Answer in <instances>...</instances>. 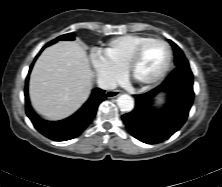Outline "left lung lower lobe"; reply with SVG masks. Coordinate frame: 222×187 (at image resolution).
I'll list each match as a JSON object with an SVG mask.
<instances>
[{"label": "left lung lower lobe", "instance_id": "obj_1", "mask_svg": "<svg viewBox=\"0 0 222 187\" xmlns=\"http://www.w3.org/2000/svg\"><path fill=\"white\" fill-rule=\"evenodd\" d=\"M160 93L166 94L167 102L155 109L153 100ZM134 98V109L122 116L129 133L147 144L167 140L183 126L194 100L189 65L177 66L161 85Z\"/></svg>", "mask_w": 222, "mask_h": 187}]
</instances>
